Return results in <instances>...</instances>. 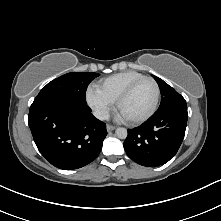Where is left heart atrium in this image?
Masks as SVG:
<instances>
[{"label":"left heart atrium","mask_w":221,"mask_h":221,"mask_svg":"<svg viewBox=\"0 0 221 221\" xmlns=\"http://www.w3.org/2000/svg\"><path fill=\"white\" fill-rule=\"evenodd\" d=\"M120 118L125 119V117L122 114L120 115Z\"/></svg>","instance_id":"1"}]
</instances>
